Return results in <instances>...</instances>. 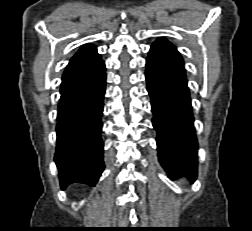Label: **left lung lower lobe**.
I'll use <instances>...</instances> for the list:
<instances>
[{"mask_svg": "<svg viewBox=\"0 0 252 231\" xmlns=\"http://www.w3.org/2000/svg\"><path fill=\"white\" fill-rule=\"evenodd\" d=\"M152 123L157 131L158 158L170 178L197 176V138L184 61L165 38L157 39L146 60Z\"/></svg>", "mask_w": 252, "mask_h": 231, "instance_id": "left-lung-lower-lobe-1", "label": "left lung lower lobe"}]
</instances>
